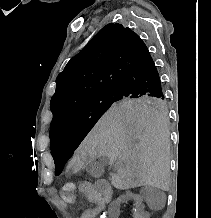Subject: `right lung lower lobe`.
<instances>
[{
	"mask_svg": "<svg viewBox=\"0 0 211 218\" xmlns=\"http://www.w3.org/2000/svg\"><path fill=\"white\" fill-rule=\"evenodd\" d=\"M116 94L123 97H162L164 92L151 56L135 67L118 85Z\"/></svg>",
	"mask_w": 211,
	"mask_h": 218,
	"instance_id": "98d812e1",
	"label": "right lung lower lobe"
}]
</instances>
